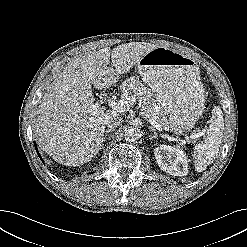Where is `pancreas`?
Masks as SVG:
<instances>
[{
	"instance_id": "pancreas-1",
	"label": "pancreas",
	"mask_w": 247,
	"mask_h": 247,
	"mask_svg": "<svg viewBox=\"0 0 247 247\" xmlns=\"http://www.w3.org/2000/svg\"><path fill=\"white\" fill-rule=\"evenodd\" d=\"M131 95L138 98L139 106L144 117L149 115L163 128H169V121L160 106L157 105L151 91L136 79H128L122 84V97Z\"/></svg>"
}]
</instances>
